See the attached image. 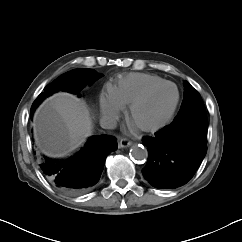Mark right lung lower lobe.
<instances>
[{
	"label": "right lung lower lobe",
	"mask_w": 242,
	"mask_h": 242,
	"mask_svg": "<svg viewBox=\"0 0 242 242\" xmlns=\"http://www.w3.org/2000/svg\"><path fill=\"white\" fill-rule=\"evenodd\" d=\"M34 110L32 107L31 116ZM117 147L113 136H93L78 153L67 160L44 156L40 168L48 181L59 190L68 194H80L98 182L106 157Z\"/></svg>",
	"instance_id": "right-lung-lower-lobe-1"
}]
</instances>
